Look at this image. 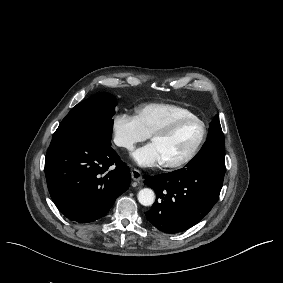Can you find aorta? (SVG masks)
Masks as SVG:
<instances>
[{
    "mask_svg": "<svg viewBox=\"0 0 283 283\" xmlns=\"http://www.w3.org/2000/svg\"><path fill=\"white\" fill-rule=\"evenodd\" d=\"M138 201L143 206H151L155 201V193L150 188H143L138 192Z\"/></svg>",
    "mask_w": 283,
    "mask_h": 283,
    "instance_id": "1",
    "label": "aorta"
}]
</instances>
